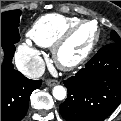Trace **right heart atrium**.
I'll return each mask as SVG.
<instances>
[{
  "label": "right heart atrium",
  "mask_w": 121,
  "mask_h": 121,
  "mask_svg": "<svg viewBox=\"0 0 121 121\" xmlns=\"http://www.w3.org/2000/svg\"><path fill=\"white\" fill-rule=\"evenodd\" d=\"M15 60L20 71L25 74H35L42 68L40 52L27 41L18 46Z\"/></svg>",
  "instance_id": "d8ad5b80"
}]
</instances>
